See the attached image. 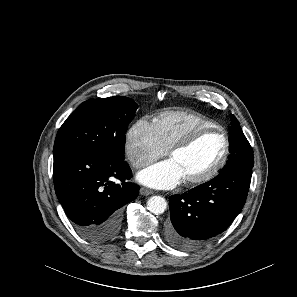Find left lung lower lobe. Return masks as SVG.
<instances>
[{
    "mask_svg": "<svg viewBox=\"0 0 297 297\" xmlns=\"http://www.w3.org/2000/svg\"><path fill=\"white\" fill-rule=\"evenodd\" d=\"M251 174L224 171L182 195H172L167 241L181 250H196L224 232L245 204Z\"/></svg>",
    "mask_w": 297,
    "mask_h": 297,
    "instance_id": "obj_1",
    "label": "left lung lower lobe"
}]
</instances>
